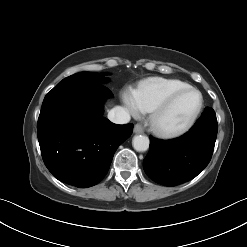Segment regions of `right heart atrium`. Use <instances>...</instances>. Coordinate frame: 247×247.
<instances>
[{"instance_id":"right-heart-atrium-1","label":"right heart atrium","mask_w":247,"mask_h":247,"mask_svg":"<svg viewBox=\"0 0 247 247\" xmlns=\"http://www.w3.org/2000/svg\"><path fill=\"white\" fill-rule=\"evenodd\" d=\"M123 101L131 114L137 115L142 112L133 90L128 89L123 93Z\"/></svg>"}]
</instances>
